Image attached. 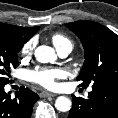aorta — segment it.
I'll list each match as a JSON object with an SVG mask.
<instances>
[{
    "label": "aorta",
    "instance_id": "1",
    "mask_svg": "<svg viewBox=\"0 0 118 118\" xmlns=\"http://www.w3.org/2000/svg\"><path fill=\"white\" fill-rule=\"evenodd\" d=\"M35 58L40 63L54 62L56 59L55 51L53 48L42 45L35 49ZM72 102L65 96H59L55 101V108L60 112H67L71 109Z\"/></svg>",
    "mask_w": 118,
    "mask_h": 118
}]
</instances>
